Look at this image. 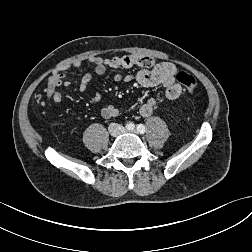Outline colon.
<instances>
[{"label":"colon","instance_id":"1","mask_svg":"<svg viewBox=\"0 0 252 252\" xmlns=\"http://www.w3.org/2000/svg\"><path fill=\"white\" fill-rule=\"evenodd\" d=\"M176 80L188 92H193L197 88L196 79L186 72H179L176 75Z\"/></svg>","mask_w":252,"mask_h":252}]
</instances>
